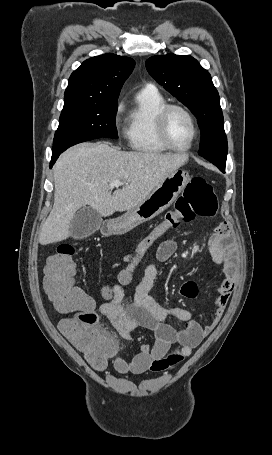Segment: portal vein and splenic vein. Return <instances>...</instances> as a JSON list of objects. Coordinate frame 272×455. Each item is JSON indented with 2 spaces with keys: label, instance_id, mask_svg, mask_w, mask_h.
Masks as SVG:
<instances>
[{
  "label": "portal vein and splenic vein",
  "instance_id": "1",
  "mask_svg": "<svg viewBox=\"0 0 272 455\" xmlns=\"http://www.w3.org/2000/svg\"><path fill=\"white\" fill-rule=\"evenodd\" d=\"M125 183H126L125 181L115 180V181H112L109 186L110 187H119V186L124 185Z\"/></svg>",
  "mask_w": 272,
  "mask_h": 455
}]
</instances>
